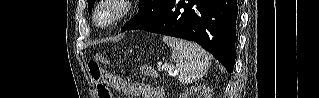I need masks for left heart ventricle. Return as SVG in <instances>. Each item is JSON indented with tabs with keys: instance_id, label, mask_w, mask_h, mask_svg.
Masks as SVG:
<instances>
[{
	"instance_id": "left-heart-ventricle-1",
	"label": "left heart ventricle",
	"mask_w": 319,
	"mask_h": 98,
	"mask_svg": "<svg viewBox=\"0 0 319 98\" xmlns=\"http://www.w3.org/2000/svg\"><path fill=\"white\" fill-rule=\"evenodd\" d=\"M115 13V10L113 8H104L101 12H100V18L102 21H106L109 18H111L113 16V14Z\"/></svg>"
}]
</instances>
